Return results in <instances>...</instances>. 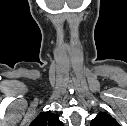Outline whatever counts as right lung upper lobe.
<instances>
[{"label": "right lung upper lobe", "mask_w": 127, "mask_h": 126, "mask_svg": "<svg viewBox=\"0 0 127 126\" xmlns=\"http://www.w3.org/2000/svg\"><path fill=\"white\" fill-rule=\"evenodd\" d=\"M30 126H63L58 115L51 112H41L30 124Z\"/></svg>", "instance_id": "1"}]
</instances>
